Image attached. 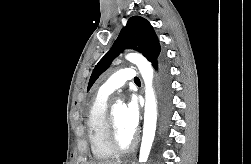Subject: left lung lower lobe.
Masks as SVG:
<instances>
[{
	"label": "left lung lower lobe",
	"instance_id": "left-lung-lower-lobe-1",
	"mask_svg": "<svg viewBox=\"0 0 251 164\" xmlns=\"http://www.w3.org/2000/svg\"><path fill=\"white\" fill-rule=\"evenodd\" d=\"M154 67L158 70L161 89H162V96H163V103L166 112L170 110V82H169V75L168 70L165 62L163 60L160 63H156Z\"/></svg>",
	"mask_w": 251,
	"mask_h": 164
}]
</instances>
